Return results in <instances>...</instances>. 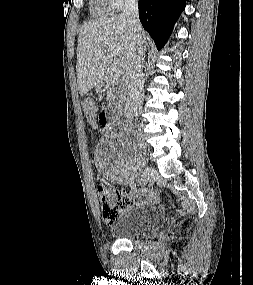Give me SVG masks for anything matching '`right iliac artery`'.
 Here are the masks:
<instances>
[{
    "instance_id": "obj_1",
    "label": "right iliac artery",
    "mask_w": 253,
    "mask_h": 285,
    "mask_svg": "<svg viewBox=\"0 0 253 285\" xmlns=\"http://www.w3.org/2000/svg\"><path fill=\"white\" fill-rule=\"evenodd\" d=\"M129 186H130L131 189L136 188V184L134 182H132V181L129 183Z\"/></svg>"
}]
</instances>
